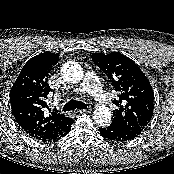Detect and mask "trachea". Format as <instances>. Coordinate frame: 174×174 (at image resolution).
<instances>
[{
	"instance_id": "3493384b",
	"label": "trachea",
	"mask_w": 174,
	"mask_h": 174,
	"mask_svg": "<svg viewBox=\"0 0 174 174\" xmlns=\"http://www.w3.org/2000/svg\"><path fill=\"white\" fill-rule=\"evenodd\" d=\"M75 109H87V105L81 101L72 99L68 103H66L63 107V111H70ZM54 111L58 110L55 109Z\"/></svg>"
}]
</instances>
